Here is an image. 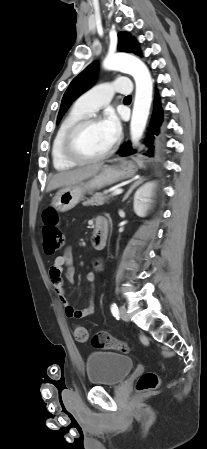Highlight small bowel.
Segmentation results:
<instances>
[{
	"label": "small bowel",
	"mask_w": 207,
	"mask_h": 449,
	"mask_svg": "<svg viewBox=\"0 0 207 449\" xmlns=\"http://www.w3.org/2000/svg\"><path fill=\"white\" fill-rule=\"evenodd\" d=\"M73 262V251L71 247H67L63 254L55 258L52 265L50 266L49 273L56 294L60 302L64 306L66 316L73 319H82L94 314L95 304L93 301H91L85 308L77 310L72 306L71 300L67 297L64 288L63 273L65 275V278L70 283L74 282L75 269L73 266ZM86 280L92 287H94L96 281V273L94 271L88 272L86 275Z\"/></svg>",
	"instance_id": "small-bowel-1"
}]
</instances>
